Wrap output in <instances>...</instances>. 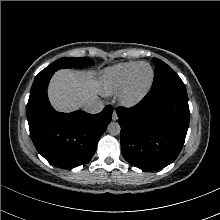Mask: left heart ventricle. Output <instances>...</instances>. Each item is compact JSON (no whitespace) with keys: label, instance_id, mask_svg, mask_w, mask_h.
Returning a JSON list of instances; mask_svg holds the SVG:
<instances>
[{"label":"left heart ventricle","instance_id":"obj_1","mask_svg":"<svg viewBox=\"0 0 220 220\" xmlns=\"http://www.w3.org/2000/svg\"><path fill=\"white\" fill-rule=\"evenodd\" d=\"M150 77V69L148 66H141L136 73L135 76V83L137 86L144 85Z\"/></svg>","mask_w":220,"mask_h":220}]
</instances>
